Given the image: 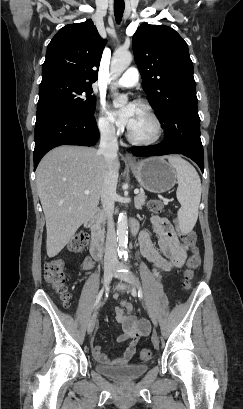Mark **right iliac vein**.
<instances>
[{"instance_id": "1", "label": "right iliac vein", "mask_w": 243, "mask_h": 409, "mask_svg": "<svg viewBox=\"0 0 243 409\" xmlns=\"http://www.w3.org/2000/svg\"><path fill=\"white\" fill-rule=\"evenodd\" d=\"M112 276H113V268L112 267L106 268L104 271V277H103V284L105 286L111 281ZM96 318H97V308L94 310L91 316V319L88 323V326H87L88 334H92V332L94 331L95 324H96Z\"/></svg>"}]
</instances>
